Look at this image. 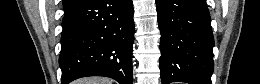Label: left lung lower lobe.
I'll list each match as a JSON object with an SVG mask.
<instances>
[{
	"label": "left lung lower lobe",
	"mask_w": 260,
	"mask_h": 84,
	"mask_svg": "<svg viewBox=\"0 0 260 84\" xmlns=\"http://www.w3.org/2000/svg\"><path fill=\"white\" fill-rule=\"evenodd\" d=\"M162 84H211L214 38L205 0H156Z\"/></svg>",
	"instance_id": "0a47b994"
}]
</instances>
